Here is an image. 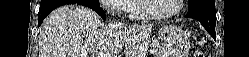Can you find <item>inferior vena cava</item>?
<instances>
[{
  "mask_svg": "<svg viewBox=\"0 0 249 57\" xmlns=\"http://www.w3.org/2000/svg\"><path fill=\"white\" fill-rule=\"evenodd\" d=\"M111 25H121L120 23L114 21Z\"/></svg>",
  "mask_w": 249,
  "mask_h": 57,
  "instance_id": "1",
  "label": "inferior vena cava"
}]
</instances>
